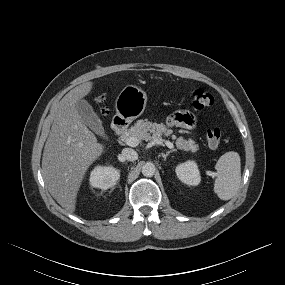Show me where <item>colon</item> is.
<instances>
[{"mask_svg": "<svg viewBox=\"0 0 285 285\" xmlns=\"http://www.w3.org/2000/svg\"><path fill=\"white\" fill-rule=\"evenodd\" d=\"M97 104H99L100 112L105 113L104 107H102V97H97ZM214 103V97L208 91L202 88H196L191 93V105L195 110H202ZM207 143L210 147L216 148L222 140V131L218 127L210 128L206 134Z\"/></svg>", "mask_w": 285, "mask_h": 285, "instance_id": "5ec220e1", "label": "colon"}]
</instances>
